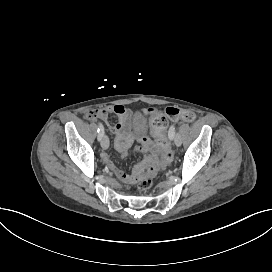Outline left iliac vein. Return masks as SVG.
Listing matches in <instances>:
<instances>
[{
  "mask_svg": "<svg viewBox=\"0 0 272 272\" xmlns=\"http://www.w3.org/2000/svg\"><path fill=\"white\" fill-rule=\"evenodd\" d=\"M174 143L177 147H179L181 145V140L180 138L178 137V135L176 134L175 136V140H174Z\"/></svg>",
  "mask_w": 272,
  "mask_h": 272,
  "instance_id": "left-iliac-vein-1",
  "label": "left iliac vein"
}]
</instances>
